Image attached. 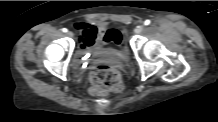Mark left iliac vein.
Returning <instances> with one entry per match:
<instances>
[{
  "label": "left iliac vein",
  "instance_id": "left-iliac-vein-1",
  "mask_svg": "<svg viewBox=\"0 0 218 122\" xmlns=\"http://www.w3.org/2000/svg\"><path fill=\"white\" fill-rule=\"evenodd\" d=\"M143 30H144V25H139V26L136 28V33H137V34H140V33H142Z\"/></svg>",
  "mask_w": 218,
  "mask_h": 122
}]
</instances>
